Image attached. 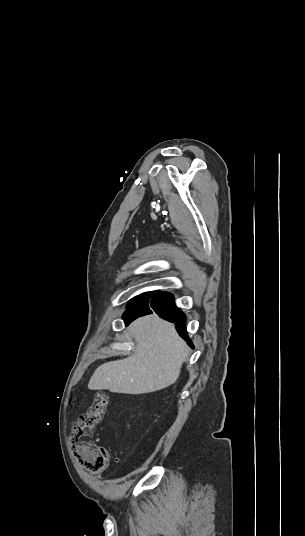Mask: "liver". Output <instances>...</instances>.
Instances as JSON below:
<instances>
[{
    "label": "liver",
    "mask_w": 305,
    "mask_h": 536,
    "mask_svg": "<svg viewBox=\"0 0 305 536\" xmlns=\"http://www.w3.org/2000/svg\"><path fill=\"white\" fill-rule=\"evenodd\" d=\"M129 332L136 342L134 354L99 366L89 380V390L148 394L168 388L179 378L189 348L173 324L152 314L135 320Z\"/></svg>",
    "instance_id": "6515ba94"
}]
</instances>
